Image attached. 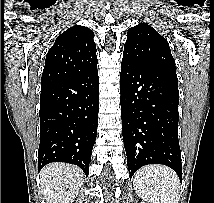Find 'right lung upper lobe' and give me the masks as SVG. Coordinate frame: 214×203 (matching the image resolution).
<instances>
[{"label":"right lung upper lobe","mask_w":214,"mask_h":203,"mask_svg":"<svg viewBox=\"0 0 214 203\" xmlns=\"http://www.w3.org/2000/svg\"><path fill=\"white\" fill-rule=\"evenodd\" d=\"M94 33L73 26L60 34L47 53L41 90L77 77L97 66Z\"/></svg>","instance_id":"obj_1"}]
</instances>
